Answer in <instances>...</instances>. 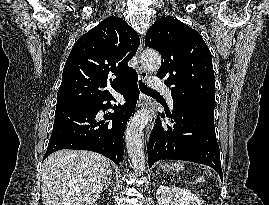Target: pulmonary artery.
I'll return each instance as SVG.
<instances>
[{
    "instance_id": "e3ab8cb5",
    "label": "pulmonary artery",
    "mask_w": 269,
    "mask_h": 205,
    "mask_svg": "<svg viewBox=\"0 0 269 205\" xmlns=\"http://www.w3.org/2000/svg\"><path fill=\"white\" fill-rule=\"evenodd\" d=\"M148 85L150 88H152L154 90H159V91L164 92L168 97L169 103L171 105L173 104L172 93H171L170 89H168L166 87V85L164 84L162 79H160L158 77H149Z\"/></svg>"
}]
</instances>
